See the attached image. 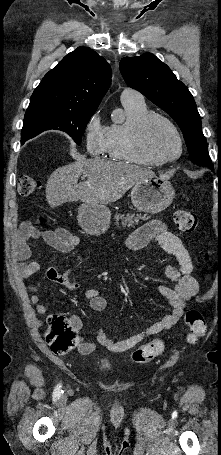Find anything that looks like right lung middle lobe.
Returning a JSON list of instances; mask_svg holds the SVG:
<instances>
[{"instance_id":"dd1d6c3e","label":"right lung middle lobe","mask_w":221,"mask_h":455,"mask_svg":"<svg viewBox=\"0 0 221 455\" xmlns=\"http://www.w3.org/2000/svg\"><path fill=\"white\" fill-rule=\"evenodd\" d=\"M95 111L72 110L49 105L27 108L21 132V143L49 129L69 134L77 144L81 143L86 125Z\"/></svg>"}]
</instances>
